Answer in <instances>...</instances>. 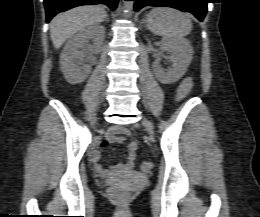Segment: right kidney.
<instances>
[{"label":"right kidney","instance_id":"obj_1","mask_svg":"<svg viewBox=\"0 0 260 217\" xmlns=\"http://www.w3.org/2000/svg\"><path fill=\"white\" fill-rule=\"evenodd\" d=\"M104 36V26L92 24L69 38L60 56L61 70L69 83L78 84L87 78L91 65L85 63V54L99 53ZM89 39L93 45L88 44Z\"/></svg>","mask_w":260,"mask_h":217}]
</instances>
